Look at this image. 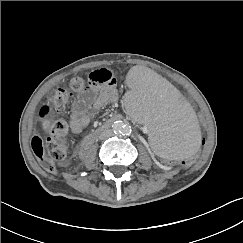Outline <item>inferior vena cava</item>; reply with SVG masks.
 Instances as JSON below:
<instances>
[{
  "label": "inferior vena cava",
  "mask_w": 243,
  "mask_h": 243,
  "mask_svg": "<svg viewBox=\"0 0 243 243\" xmlns=\"http://www.w3.org/2000/svg\"><path fill=\"white\" fill-rule=\"evenodd\" d=\"M113 135V132L112 130L110 129H107V130H104L100 133V136L99 138L102 140V139H107L109 137H111Z\"/></svg>",
  "instance_id": "obj_1"
}]
</instances>
